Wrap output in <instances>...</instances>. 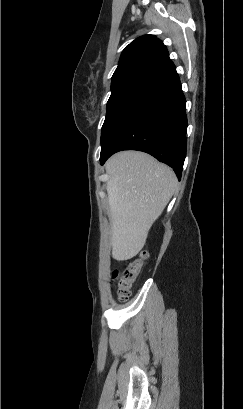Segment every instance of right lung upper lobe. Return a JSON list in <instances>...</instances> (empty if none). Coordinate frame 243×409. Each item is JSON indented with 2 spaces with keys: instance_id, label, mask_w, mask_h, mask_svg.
I'll list each match as a JSON object with an SVG mask.
<instances>
[{
  "instance_id": "right-lung-upper-lobe-1",
  "label": "right lung upper lobe",
  "mask_w": 243,
  "mask_h": 409,
  "mask_svg": "<svg viewBox=\"0 0 243 409\" xmlns=\"http://www.w3.org/2000/svg\"><path fill=\"white\" fill-rule=\"evenodd\" d=\"M174 70L175 66L162 41L154 35H144L123 50L112 76V84L135 77L163 80Z\"/></svg>"
}]
</instances>
